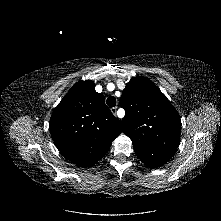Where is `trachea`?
<instances>
[{
    "label": "trachea",
    "mask_w": 221,
    "mask_h": 221,
    "mask_svg": "<svg viewBox=\"0 0 221 221\" xmlns=\"http://www.w3.org/2000/svg\"><path fill=\"white\" fill-rule=\"evenodd\" d=\"M106 103L109 107H115L116 106V98L114 96H110L107 98Z\"/></svg>",
    "instance_id": "3493384b"
}]
</instances>
